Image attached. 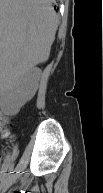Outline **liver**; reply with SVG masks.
Listing matches in <instances>:
<instances>
[{
  "instance_id": "obj_1",
  "label": "liver",
  "mask_w": 103,
  "mask_h": 193,
  "mask_svg": "<svg viewBox=\"0 0 103 193\" xmlns=\"http://www.w3.org/2000/svg\"><path fill=\"white\" fill-rule=\"evenodd\" d=\"M54 0H0L1 80L48 60L57 30Z\"/></svg>"
}]
</instances>
